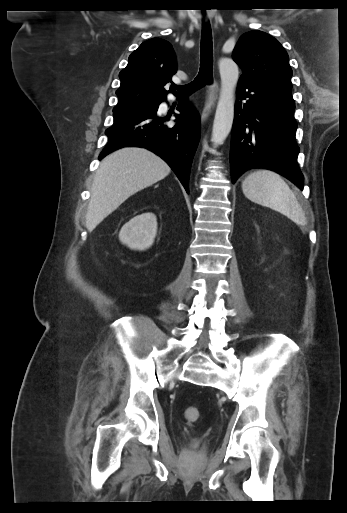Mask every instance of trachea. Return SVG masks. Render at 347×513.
Instances as JSON below:
<instances>
[{"label": "trachea", "instance_id": "3493384b", "mask_svg": "<svg viewBox=\"0 0 347 513\" xmlns=\"http://www.w3.org/2000/svg\"><path fill=\"white\" fill-rule=\"evenodd\" d=\"M213 81V46L210 23H203L200 45V69L198 75L191 83L183 86L172 87L183 93H191Z\"/></svg>", "mask_w": 347, "mask_h": 513}]
</instances>
